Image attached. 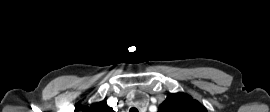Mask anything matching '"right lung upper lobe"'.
<instances>
[{"label": "right lung upper lobe", "instance_id": "right-lung-upper-lobe-1", "mask_svg": "<svg viewBox=\"0 0 270 112\" xmlns=\"http://www.w3.org/2000/svg\"><path fill=\"white\" fill-rule=\"evenodd\" d=\"M84 112H115V111L107 105L106 101H101L97 104L92 105Z\"/></svg>", "mask_w": 270, "mask_h": 112}]
</instances>
